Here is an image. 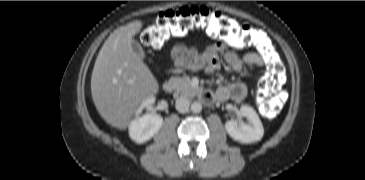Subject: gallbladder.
Masks as SVG:
<instances>
[{
    "label": "gallbladder",
    "mask_w": 365,
    "mask_h": 180,
    "mask_svg": "<svg viewBox=\"0 0 365 180\" xmlns=\"http://www.w3.org/2000/svg\"><path fill=\"white\" fill-rule=\"evenodd\" d=\"M131 47L133 52L141 59H145L146 54L142 48V46L140 45V43L136 40H132L131 42Z\"/></svg>",
    "instance_id": "obj_1"
}]
</instances>
